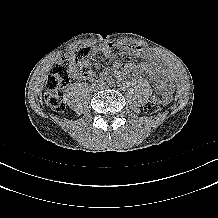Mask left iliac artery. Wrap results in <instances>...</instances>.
Returning <instances> with one entry per match:
<instances>
[{"instance_id":"obj_1","label":"left iliac artery","mask_w":218,"mask_h":218,"mask_svg":"<svg viewBox=\"0 0 218 218\" xmlns=\"http://www.w3.org/2000/svg\"><path fill=\"white\" fill-rule=\"evenodd\" d=\"M109 84L111 85V84H113V82L109 81Z\"/></svg>"}]
</instances>
